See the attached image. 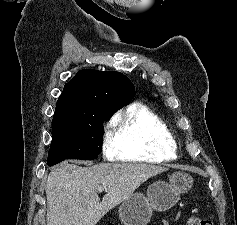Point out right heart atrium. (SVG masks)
Wrapping results in <instances>:
<instances>
[{"label":"right heart atrium","mask_w":237,"mask_h":225,"mask_svg":"<svg viewBox=\"0 0 237 225\" xmlns=\"http://www.w3.org/2000/svg\"><path fill=\"white\" fill-rule=\"evenodd\" d=\"M116 150L114 119L106 123L102 136V151L106 158L113 159Z\"/></svg>","instance_id":"1"}]
</instances>
